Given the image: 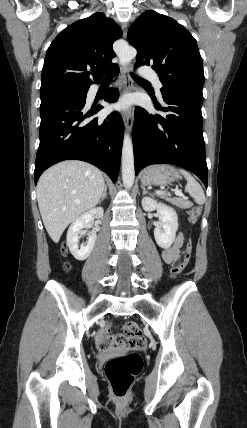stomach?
Returning <instances> with one entry per match:
<instances>
[{"label": "stomach", "mask_w": 247, "mask_h": 428, "mask_svg": "<svg viewBox=\"0 0 247 428\" xmlns=\"http://www.w3.org/2000/svg\"><path fill=\"white\" fill-rule=\"evenodd\" d=\"M180 175L175 167L170 165H154L145 169L141 181L146 185H165L176 181Z\"/></svg>", "instance_id": "stomach-1"}]
</instances>
